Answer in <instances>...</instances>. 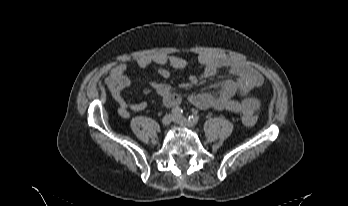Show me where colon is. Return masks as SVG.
<instances>
[{
	"instance_id": "colon-1",
	"label": "colon",
	"mask_w": 348,
	"mask_h": 206,
	"mask_svg": "<svg viewBox=\"0 0 348 206\" xmlns=\"http://www.w3.org/2000/svg\"><path fill=\"white\" fill-rule=\"evenodd\" d=\"M242 121L246 126L253 127L257 119L253 112H246L243 114Z\"/></svg>"
}]
</instances>
